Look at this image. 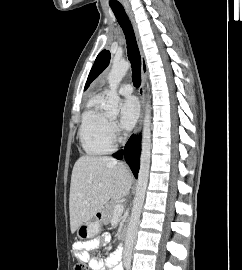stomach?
Listing matches in <instances>:
<instances>
[{
	"label": "stomach",
	"instance_id": "1",
	"mask_svg": "<svg viewBox=\"0 0 242 270\" xmlns=\"http://www.w3.org/2000/svg\"><path fill=\"white\" fill-rule=\"evenodd\" d=\"M101 222L102 219L96 218L81 224L76 230L77 237L86 240L96 236L99 233Z\"/></svg>",
	"mask_w": 242,
	"mask_h": 270
}]
</instances>
